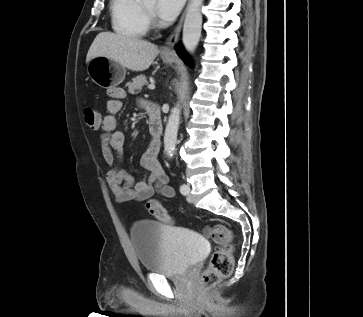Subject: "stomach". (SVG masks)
Listing matches in <instances>:
<instances>
[{
    "label": "stomach",
    "mask_w": 363,
    "mask_h": 317,
    "mask_svg": "<svg viewBox=\"0 0 363 317\" xmlns=\"http://www.w3.org/2000/svg\"><path fill=\"white\" fill-rule=\"evenodd\" d=\"M165 63L171 64L173 57H164ZM87 73L91 80L98 86L110 89L119 85L125 78L126 69L114 60L99 56L91 59L87 65Z\"/></svg>",
    "instance_id": "stomach-1"
}]
</instances>
